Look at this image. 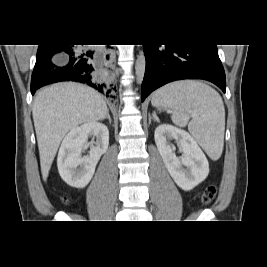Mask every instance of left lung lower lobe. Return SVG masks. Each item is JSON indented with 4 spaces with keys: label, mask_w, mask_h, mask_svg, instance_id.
<instances>
[{
    "label": "left lung lower lobe",
    "mask_w": 267,
    "mask_h": 267,
    "mask_svg": "<svg viewBox=\"0 0 267 267\" xmlns=\"http://www.w3.org/2000/svg\"><path fill=\"white\" fill-rule=\"evenodd\" d=\"M146 58L141 100L155 89L176 80L204 79L225 92V73L216 45H143Z\"/></svg>",
    "instance_id": "0a47b994"
}]
</instances>
